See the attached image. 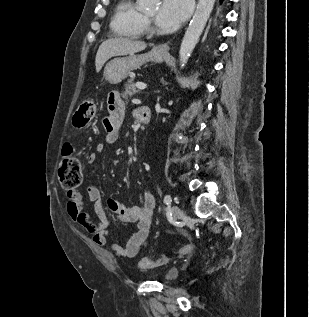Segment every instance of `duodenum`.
Instances as JSON below:
<instances>
[{"mask_svg": "<svg viewBox=\"0 0 309 317\" xmlns=\"http://www.w3.org/2000/svg\"><path fill=\"white\" fill-rule=\"evenodd\" d=\"M150 109L146 106L138 108L137 119L142 124H147L150 121Z\"/></svg>", "mask_w": 309, "mask_h": 317, "instance_id": "obj_1", "label": "duodenum"}]
</instances>
